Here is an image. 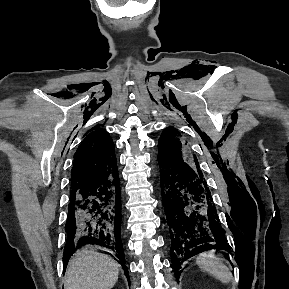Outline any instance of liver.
I'll return each instance as SVG.
<instances>
[{"label":"liver","mask_w":289,"mask_h":289,"mask_svg":"<svg viewBox=\"0 0 289 289\" xmlns=\"http://www.w3.org/2000/svg\"><path fill=\"white\" fill-rule=\"evenodd\" d=\"M119 267L110 256L85 248L69 261L64 289H111L118 280Z\"/></svg>","instance_id":"6515ba94"}]
</instances>
